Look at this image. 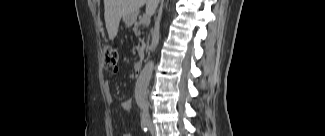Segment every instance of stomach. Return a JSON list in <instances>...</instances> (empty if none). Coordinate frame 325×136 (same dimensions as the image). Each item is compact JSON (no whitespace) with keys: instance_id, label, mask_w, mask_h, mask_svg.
<instances>
[{"instance_id":"1","label":"stomach","mask_w":325,"mask_h":136,"mask_svg":"<svg viewBox=\"0 0 325 136\" xmlns=\"http://www.w3.org/2000/svg\"><path fill=\"white\" fill-rule=\"evenodd\" d=\"M137 16L135 14L127 15L123 17L124 21L128 25H132L136 21Z\"/></svg>"}]
</instances>
